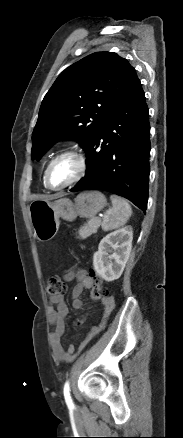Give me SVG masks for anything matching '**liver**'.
Here are the masks:
<instances>
[{
	"instance_id": "1",
	"label": "liver",
	"mask_w": 183,
	"mask_h": 438,
	"mask_svg": "<svg viewBox=\"0 0 183 438\" xmlns=\"http://www.w3.org/2000/svg\"><path fill=\"white\" fill-rule=\"evenodd\" d=\"M64 196V194H54V195H41V196H37L36 199H43V200H52V199H57L59 197Z\"/></svg>"
}]
</instances>
